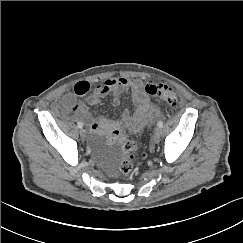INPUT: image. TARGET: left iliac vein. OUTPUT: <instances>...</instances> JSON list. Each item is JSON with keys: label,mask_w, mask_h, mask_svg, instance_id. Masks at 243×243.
Segmentation results:
<instances>
[{"label": "left iliac vein", "mask_w": 243, "mask_h": 243, "mask_svg": "<svg viewBox=\"0 0 243 243\" xmlns=\"http://www.w3.org/2000/svg\"><path fill=\"white\" fill-rule=\"evenodd\" d=\"M161 134H162V130H161V128L156 127L155 130H154V135H153V137H152V140H153L154 142H158L159 139H160Z\"/></svg>", "instance_id": "obj_1"}]
</instances>
